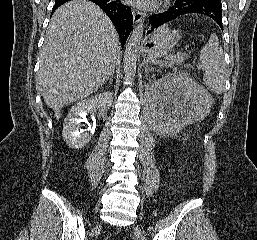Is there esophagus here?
<instances>
[{
  "mask_svg": "<svg viewBox=\"0 0 257 240\" xmlns=\"http://www.w3.org/2000/svg\"><path fill=\"white\" fill-rule=\"evenodd\" d=\"M145 18V14L143 12L140 11H134L133 13V21L135 23H140L144 20Z\"/></svg>",
  "mask_w": 257,
  "mask_h": 240,
  "instance_id": "obj_1",
  "label": "esophagus"
}]
</instances>
